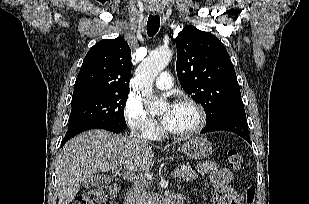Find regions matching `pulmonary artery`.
Here are the masks:
<instances>
[{
	"instance_id": "pulmonary-artery-1",
	"label": "pulmonary artery",
	"mask_w": 309,
	"mask_h": 204,
	"mask_svg": "<svg viewBox=\"0 0 309 204\" xmlns=\"http://www.w3.org/2000/svg\"><path fill=\"white\" fill-rule=\"evenodd\" d=\"M154 85L161 90H168L173 86L172 77L169 72L161 73L156 80Z\"/></svg>"
}]
</instances>
